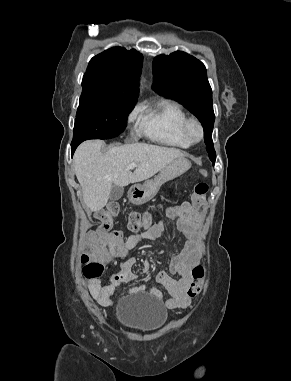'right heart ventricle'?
<instances>
[{"label": "right heart ventricle", "mask_w": 291, "mask_h": 381, "mask_svg": "<svg viewBox=\"0 0 291 381\" xmlns=\"http://www.w3.org/2000/svg\"><path fill=\"white\" fill-rule=\"evenodd\" d=\"M140 113L139 131L151 140L182 149L192 145L184 130L189 117L178 103L164 100L152 107H141Z\"/></svg>", "instance_id": "e07e8e85"}]
</instances>
